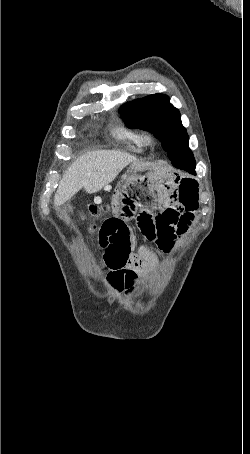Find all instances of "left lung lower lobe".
Returning <instances> with one entry per match:
<instances>
[{
  "instance_id": "1",
  "label": "left lung lower lobe",
  "mask_w": 250,
  "mask_h": 454,
  "mask_svg": "<svg viewBox=\"0 0 250 454\" xmlns=\"http://www.w3.org/2000/svg\"><path fill=\"white\" fill-rule=\"evenodd\" d=\"M169 159L174 167L195 175L196 163L193 154L182 153L170 156Z\"/></svg>"
}]
</instances>
